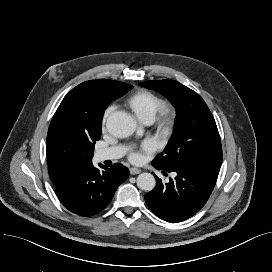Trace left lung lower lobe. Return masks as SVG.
I'll return each mask as SVG.
<instances>
[{
    "instance_id": "1",
    "label": "left lung lower lobe",
    "mask_w": 272,
    "mask_h": 272,
    "mask_svg": "<svg viewBox=\"0 0 272 272\" xmlns=\"http://www.w3.org/2000/svg\"><path fill=\"white\" fill-rule=\"evenodd\" d=\"M157 169L175 172L177 176L166 184L155 176L156 187L145 195L152 212L162 220L177 223L196 214L207 202L218 178L219 166L202 164Z\"/></svg>"
}]
</instances>
